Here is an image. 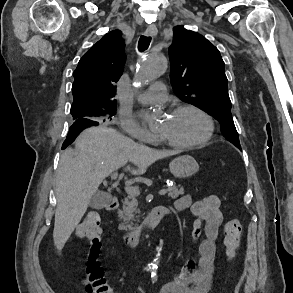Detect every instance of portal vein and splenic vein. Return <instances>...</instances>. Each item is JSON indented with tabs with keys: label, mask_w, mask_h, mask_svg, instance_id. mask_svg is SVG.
I'll use <instances>...</instances> for the list:
<instances>
[{
	"label": "portal vein and splenic vein",
	"mask_w": 293,
	"mask_h": 293,
	"mask_svg": "<svg viewBox=\"0 0 293 293\" xmlns=\"http://www.w3.org/2000/svg\"><path fill=\"white\" fill-rule=\"evenodd\" d=\"M117 177H118L117 172H113L111 174L112 179H117ZM125 191L127 192V194L133 195V196H138L140 194V190L137 187H133V186H126ZM166 193H167L166 189H161L159 191V195H161V196L165 195Z\"/></svg>",
	"instance_id": "portal-vein-and-splenic-vein-1"
}]
</instances>
